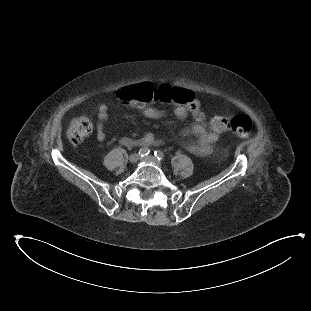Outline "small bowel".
Here are the masks:
<instances>
[{
  "label": "small bowel",
  "instance_id": "small-bowel-1",
  "mask_svg": "<svg viewBox=\"0 0 311 311\" xmlns=\"http://www.w3.org/2000/svg\"><path fill=\"white\" fill-rule=\"evenodd\" d=\"M164 88H170L169 85H164ZM143 115L151 120H157L160 119L163 116V111L151 106V105H145L142 108ZM174 115L178 119H185L188 116V111L183 106H177L174 110ZM98 122H97V139L99 141L105 140V132H104V124L108 120V113L106 108H101L98 112L97 116ZM187 132L192 134L196 140L193 142H190L186 145L187 150L196 156H207L212 152V146L213 144L218 141L219 134L213 131H208L206 127L201 122H196L192 124L188 129ZM136 140H132L129 138H123L122 143L124 145H133ZM137 143L144 145V146H150L156 143V137L151 134L147 133L144 136H142Z\"/></svg>",
  "mask_w": 311,
  "mask_h": 311
}]
</instances>
